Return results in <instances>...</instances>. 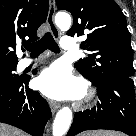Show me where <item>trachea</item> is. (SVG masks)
<instances>
[{
  "instance_id": "1",
  "label": "trachea",
  "mask_w": 136,
  "mask_h": 136,
  "mask_svg": "<svg viewBox=\"0 0 136 136\" xmlns=\"http://www.w3.org/2000/svg\"><path fill=\"white\" fill-rule=\"evenodd\" d=\"M25 49L31 52V55H39L46 49H49L55 53L59 52L60 49L52 37L50 32L45 33L41 40L31 44H25Z\"/></svg>"
}]
</instances>
